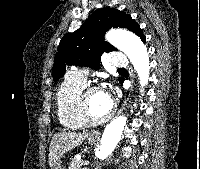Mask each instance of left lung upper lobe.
I'll list each match as a JSON object with an SVG mask.
<instances>
[{
	"label": "left lung upper lobe",
	"instance_id": "obj_1",
	"mask_svg": "<svg viewBox=\"0 0 200 169\" xmlns=\"http://www.w3.org/2000/svg\"><path fill=\"white\" fill-rule=\"evenodd\" d=\"M112 27L127 28L141 40L145 39L140 26L130 15L117 9H99L78 30L64 35L61 39L52 68L54 80H58L65 73L67 65L99 68L101 55L117 50L104 41V34ZM119 81L122 79L119 78Z\"/></svg>",
	"mask_w": 200,
	"mask_h": 169
}]
</instances>
